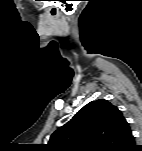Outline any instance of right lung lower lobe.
Wrapping results in <instances>:
<instances>
[{
    "label": "right lung lower lobe",
    "mask_w": 142,
    "mask_h": 151,
    "mask_svg": "<svg viewBox=\"0 0 142 151\" xmlns=\"http://www.w3.org/2000/svg\"><path fill=\"white\" fill-rule=\"evenodd\" d=\"M133 150H141L142 151V147L135 146V144L133 143L131 145V148H129V150H125V151H133Z\"/></svg>",
    "instance_id": "right-lung-lower-lobe-1"
}]
</instances>
